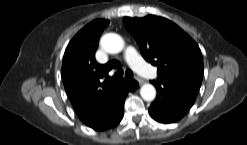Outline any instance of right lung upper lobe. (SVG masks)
I'll list each match as a JSON object with an SVG mask.
<instances>
[{
    "instance_id": "1",
    "label": "right lung upper lobe",
    "mask_w": 247,
    "mask_h": 145,
    "mask_svg": "<svg viewBox=\"0 0 247 145\" xmlns=\"http://www.w3.org/2000/svg\"><path fill=\"white\" fill-rule=\"evenodd\" d=\"M109 20H94L82 28L68 44L62 63L65 90L79 118L86 122L107 109L125 80L112 82L108 72L116 62L100 65L95 60L99 37Z\"/></svg>"
}]
</instances>
